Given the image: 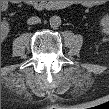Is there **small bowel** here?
<instances>
[{
  "label": "small bowel",
  "mask_w": 109,
  "mask_h": 109,
  "mask_svg": "<svg viewBox=\"0 0 109 109\" xmlns=\"http://www.w3.org/2000/svg\"><path fill=\"white\" fill-rule=\"evenodd\" d=\"M96 3H97L96 1H87L86 6L92 7V6L96 5Z\"/></svg>",
  "instance_id": "small-bowel-1"
}]
</instances>
